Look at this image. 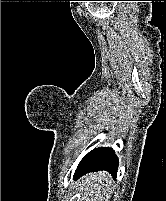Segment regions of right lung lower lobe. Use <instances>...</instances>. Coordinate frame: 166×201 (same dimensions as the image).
Segmentation results:
<instances>
[{
  "instance_id": "right-lung-lower-lobe-1",
  "label": "right lung lower lobe",
  "mask_w": 166,
  "mask_h": 201,
  "mask_svg": "<svg viewBox=\"0 0 166 201\" xmlns=\"http://www.w3.org/2000/svg\"><path fill=\"white\" fill-rule=\"evenodd\" d=\"M118 169V158L111 148H98L89 152L79 163L74 177L78 178L88 172L106 170L110 172L114 178Z\"/></svg>"
}]
</instances>
